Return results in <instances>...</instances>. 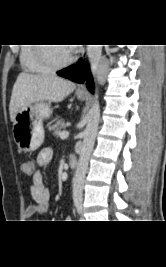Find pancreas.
I'll return each instance as SVG.
<instances>
[{"instance_id": "1", "label": "pancreas", "mask_w": 166, "mask_h": 267, "mask_svg": "<svg viewBox=\"0 0 166 267\" xmlns=\"http://www.w3.org/2000/svg\"><path fill=\"white\" fill-rule=\"evenodd\" d=\"M65 128V122L63 120H58L55 124L49 127V130L53 132L54 136L60 134L61 129Z\"/></svg>"}]
</instances>
